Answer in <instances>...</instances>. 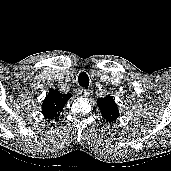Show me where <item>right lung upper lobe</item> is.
Returning a JSON list of instances; mask_svg holds the SVG:
<instances>
[{
	"label": "right lung upper lobe",
	"instance_id": "right-lung-upper-lobe-1",
	"mask_svg": "<svg viewBox=\"0 0 171 171\" xmlns=\"http://www.w3.org/2000/svg\"><path fill=\"white\" fill-rule=\"evenodd\" d=\"M71 94H61L57 90H51L44 99L42 113L45 118L54 119L60 115L61 110L71 98Z\"/></svg>",
	"mask_w": 171,
	"mask_h": 171
}]
</instances>
